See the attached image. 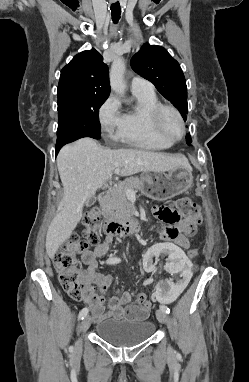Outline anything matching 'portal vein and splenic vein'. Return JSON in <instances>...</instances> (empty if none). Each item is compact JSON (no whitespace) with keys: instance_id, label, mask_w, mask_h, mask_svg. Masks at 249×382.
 I'll use <instances>...</instances> for the list:
<instances>
[{"instance_id":"obj_1","label":"portal vein and splenic vein","mask_w":249,"mask_h":382,"mask_svg":"<svg viewBox=\"0 0 249 382\" xmlns=\"http://www.w3.org/2000/svg\"><path fill=\"white\" fill-rule=\"evenodd\" d=\"M120 172V169H115L114 173L115 174H118ZM128 191H131V190H128Z\"/></svg>"}]
</instances>
